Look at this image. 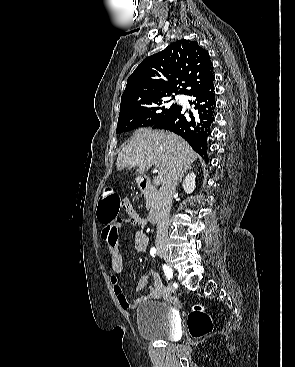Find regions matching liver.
<instances>
[{"label":"liver","mask_w":295,"mask_h":367,"mask_svg":"<svg viewBox=\"0 0 295 367\" xmlns=\"http://www.w3.org/2000/svg\"><path fill=\"white\" fill-rule=\"evenodd\" d=\"M197 157L190 145L176 134L141 128L134 132L118 154L117 169L136 165L135 173L143 176L155 164L158 174L164 179L173 166L178 164L184 168Z\"/></svg>","instance_id":"obj_1"}]
</instances>
